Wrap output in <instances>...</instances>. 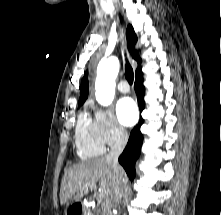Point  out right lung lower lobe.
Masks as SVG:
<instances>
[{
  "label": "right lung lower lobe",
  "mask_w": 221,
  "mask_h": 215,
  "mask_svg": "<svg viewBox=\"0 0 221 215\" xmlns=\"http://www.w3.org/2000/svg\"><path fill=\"white\" fill-rule=\"evenodd\" d=\"M135 91L138 97L139 109L142 111L145 108V102L143 100L145 87L143 86L142 75L135 77ZM143 122L144 120L141 118L139 124L131 131L127 146L119 157V163L123 166L130 179L135 177V162L140 155L143 142V136L140 132V127Z\"/></svg>",
  "instance_id": "98d812e1"
}]
</instances>
